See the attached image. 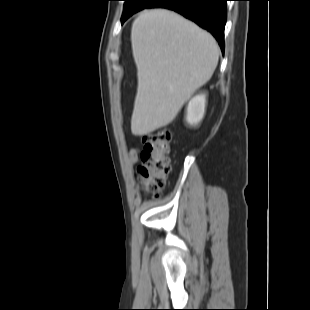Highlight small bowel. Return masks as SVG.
<instances>
[{
  "label": "small bowel",
  "instance_id": "1",
  "mask_svg": "<svg viewBox=\"0 0 310 310\" xmlns=\"http://www.w3.org/2000/svg\"><path fill=\"white\" fill-rule=\"evenodd\" d=\"M140 151L138 148H131L128 153V160L131 164H136L139 160Z\"/></svg>",
  "mask_w": 310,
  "mask_h": 310
}]
</instances>
